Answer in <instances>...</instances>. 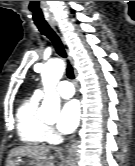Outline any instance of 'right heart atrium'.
Masks as SVG:
<instances>
[{
  "label": "right heart atrium",
  "mask_w": 135,
  "mask_h": 166,
  "mask_svg": "<svg viewBox=\"0 0 135 166\" xmlns=\"http://www.w3.org/2000/svg\"><path fill=\"white\" fill-rule=\"evenodd\" d=\"M47 137L49 141H56L58 140V136L55 130L52 127H47Z\"/></svg>",
  "instance_id": "1"
}]
</instances>
